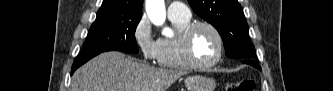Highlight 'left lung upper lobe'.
I'll list each match as a JSON object with an SVG mask.
<instances>
[{
    "instance_id": "obj_1",
    "label": "left lung upper lobe",
    "mask_w": 333,
    "mask_h": 91,
    "mask_svg": "<svg viewBox=\"0 0 333 91\" xmlns=\"http://www.w3.org/2000/svg\"><path fill=\"white\" fill-rule=\"evenodd\" d=\"M194 12L220 33L228 57L252 59L255 48L249 40L248 25L237 0H188Z\"/></svg>"
}]
</instances>
